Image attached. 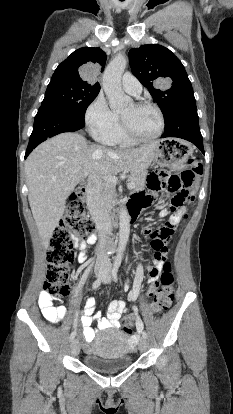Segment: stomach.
I'll return each mask as SVG.
<instances>
[{"mask_svg": "<svg viewBox=\"0 0 233 414\" xmlns=\"http://www.w3.org/2000/svg\"><path fill=\"white\" fill-rule=\"evenodd\" d=\"M157 142L154 161L174 171H180L185 166L192 154L191 146L176 138L162 139Z\"/></svg>", "mask_w": 233, "mask_h": 414, "instance_id": "0dacf381", "label": "stomach"}]
</instances>
